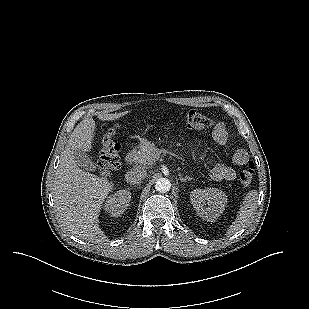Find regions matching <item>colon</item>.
Returning a JSON list of instances; mask_svg holds the SVG:
<instances>
[{
	"label": "colon",
	"mask_w": 309,
	"mask_h": 309,
	"mask_svg": "<svg viewBox=\"0 0 309 309\" xmlns=\"http://www.w3.org/2000/svg\"><path fill=\"white\" fill-rule=\"evenodd\" d=\"M185 124L194 129H209L214 122L204 114L188 110L182 113ZM116 128L110 129L102 140V152L97 167L101 174L108 175L111 171L120 167L119 145L114 141ZM254 177V164L250 162L246 169L239 174L240 182L244 185L251 183Z\"/></svg>",
	"instance_id": "1"
}]
</instances>
